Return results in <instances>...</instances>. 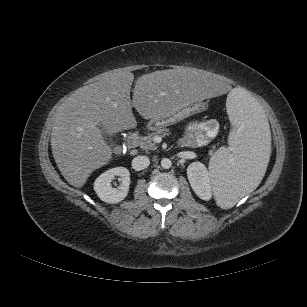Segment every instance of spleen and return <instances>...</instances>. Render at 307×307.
<instances>
[{
  "label": "spleen",
  "instance_id": "spleen-1",
  "mask_svg": "<svg viewBox=\"0 0 307 307\" xmlns=\"http://www.w3.org/2000/svg\"><path fill=\"white\" fill-rule=\"evenodd\" d=\"M237 131L230 136L232 152L222 149L211 158L209 175L217 205L232 208L260 182L268 163L269 124L260 104L245 91L232 90L226 102Z\"/></svg>",
  "mask_w": 307,
  "mask_h": 307
}]
</instances>
